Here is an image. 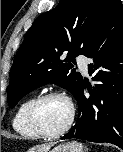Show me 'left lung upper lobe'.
I'll list each match as a JSON object with an SVG mask.
<instances>
[{
	"label": "left lung upper lobe",
	"mask_w": 123,
	"mask_h": 152,
	"mask_svg": "<svg viewBox=\"0 0 123 152\" xmlns=\"http://www.w3.org/2000/svg\"><path fill=\"white\" fill-rule=\"evenodd\" d=\"M119 4L120 0H61L57 7L39 16L15 56L9 106L13 108L23 96L48 83L76 96L82 76L72 69L75 56L88 55ZM63 53H67L64 60L60 59Z\"/></svg>",
	"instance_id": "1"
}]
</instances>
